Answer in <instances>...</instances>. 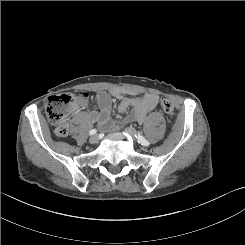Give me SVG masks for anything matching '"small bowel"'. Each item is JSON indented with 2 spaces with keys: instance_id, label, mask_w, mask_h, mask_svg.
<instances>
[{
  "instance_id": "small-bowel-1",
  "label": "small bowel",
  "mask_w": 245,
  "mask_h": 245,
  "mask_svg": "<svg viewBox=\"0 0 245 245\" xmlns=\"http://www.w3.org/2000/svg\"><path fill=\"white\" fill-rule=\"evenodd\" d=\"M112 95L119 100L118 117L126 123L138 122L143 123L147 114L154 110L158 103L159 97L156 94L147 93L143 96H128L121 90H114ZM99 109L90 112V117L98 124H105L109 121L112 113V97L106 91H101L96 96ZM86 105V99L79 103V106ZM131 107L132 111L126 114V110Z\"/></svg>"
}]
</instances>
